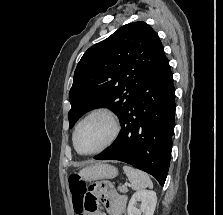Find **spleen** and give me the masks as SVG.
<instances>
[{
	"label": "spleen",
	"mask_w": 223,
	"mask_h": 215,
	"mask_svg": "<svg viewBox=\"0 0 223 215\" xmlns=\"http://www.w3.org/2000/svg\"><path fill=\"white\" fill-rule=\"evenodd\" d=\"M123 169L132 185V189H145V187H153V183L145 171L134 169V167H129V165H123Z\"/></svg>",
	"instance_id": "obj_1"
}]
</instances>
